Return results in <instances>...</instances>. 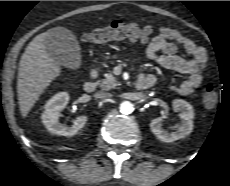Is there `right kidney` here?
Returning a JSON list of instances; mask_svg holds the SVG:
<instances>
[{"label": "right kidney", "mask_w": 230, "mask_h": 186, "mask_svg": "<svg viewBox=\"0 0 230 186\" xmlns=\"http://www.w3.org/2000/svg\"><path fill=\"white\" fill-rule=\"evenodd\" d=\"M69 98L67 92H59L45 104V110L42 113L41 119L50 133L63 136H73L86 124V116L77 117L71 126H66L59 122V113L66 107Z\"/></svg>", "instance_id": "ca27d5eb"}]
</instances>
